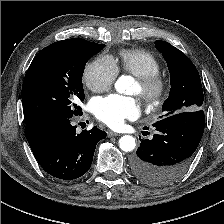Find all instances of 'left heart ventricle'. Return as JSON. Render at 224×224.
Wrapping results in <instances>:
<instances>
[{
	"label": "left heart ventricle",
	"instance_id": "b2bd125f",
	"mask_svg": "<svg viewBox=\"0 0 224 224\" xmlns=\"http://www.w3.org/2000/svg\"><path fill=\"white\" fill-rule=\"evenodd\" d=\"M139 90H140L139 85L136 82L135 85H134V88H133V93H139Z\"/></svg>",
	"mask_w": 224,
	"mask_h": 224
}]
</instances>
